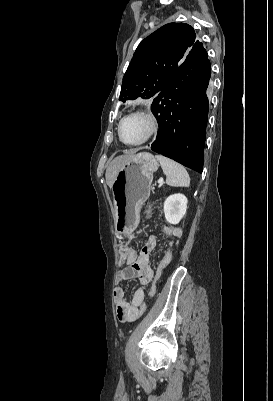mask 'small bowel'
Here are the masks:
<instances>
[{
    "label": "small bowel",
    "instance_id": "obj_1",
    "mask_svg": "<svg viewBox=\"0 0 273 401\" xmlns=\"http://www.w3.org/2000/svg\"><path fill=\"white\" fill-rule=\"evenodd\" d=\"M175 234L172 228L166 229V235L171 237ZM132 237L128 236L119 249V259L121 263L126 262L127 266L121 268L117 274V282L137 279L138 271H153L150 263L149 256L157 245L154 236H150L148 240L142 245L140 250L129 246ZM173 243L170 242L169 248L165 254L170 252ZM142 287L138 288L132 295L131 300H127L125 290L122 286H117L114 290V300L116 304V314L121 322H132L137 320L146 310L145 287L148 284H141Z\"/></svg>",
    "mask_w": 273,
    "mask_h": 401
}]
</instances>
